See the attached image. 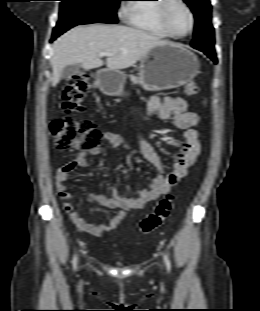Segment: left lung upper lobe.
<instances>
[{"label":"left lung upper lobe","mask_w":260,"mask_h":311,"mask_svg":"<svg viewBox=\"0 0 260 311\" xmlns=\"http://www.w3.org/2000/svg\"><path fill=\"white\" fill-rule=\"evenodd\" d=\"M194 13L196 24L193 47L214 49V28L211 24V4L209 0H184Z\"/></svg>","instance_id":"5c2ea615"}]
</instances>
